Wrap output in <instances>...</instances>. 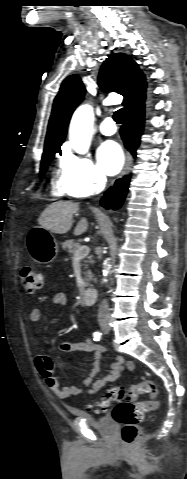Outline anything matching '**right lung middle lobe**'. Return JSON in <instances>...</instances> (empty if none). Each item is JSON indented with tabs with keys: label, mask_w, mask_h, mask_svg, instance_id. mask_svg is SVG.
I'll return each mask as SVG.
<instances>
[{
	"label": "right lung middle lobe",
	"mask_w": 187,
	"mask_h": 479,
	"mask_svg": "<svg viewBox=\"0 0 187 479\" xmlns=\"http://www.w3.org/2000/svg\"><path fill=\"white\" fill-rule=\"evenodd\" d=\"M57 151H59V150L52 149V150H49V151H46V152L43 153L42 162H41V169H40V176L41 177H43L44 173L47 170V167H48L50 161L54 158Z\"/></svg>",
	"instance_id": "right-lung-middle-lobe-1"
}]
</instances>
